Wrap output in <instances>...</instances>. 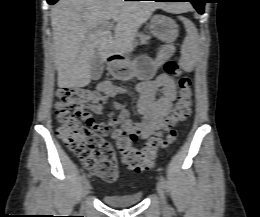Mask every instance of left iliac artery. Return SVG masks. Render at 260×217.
I'll return each instance as SVG.
<instances>
[{
	"label": "left iliac artery",
	"mask_w": 260,
	"mask_h": 217,
	"mask_svg": "<svg viewBox=\"0 0 260 217\" xmlns=\"http://www.w3.org/2000/svg\"><path fill=\"white\" fill-rule=\"evenodd\" d=\"M160 182L165 187L166 181H165V178L163 176H160Z\"/></svg>",
	"instance_id": "obj_1"
}]
</instances>
